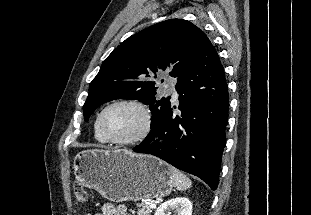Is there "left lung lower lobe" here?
I'll use <instances>...</instances> for the list:
<instances>
[{"label":"left lung lower lobe","instance_id":"left-lung-lower-lobe-1","mask_svg":"<svg viewBox=\"0 0 311 215\" xmlns=\"http://www.w3.org/2000/svg\"><path fill=\"white\" fill-rule=\"evenodd\" d=\"M175 88L180 112L174 113L169 100L133 151L159 157L215 190L226 142L229 98L223 66L207 37Z\"/></svg>","mask_w":311,"mask_h":215}]
</instances>
